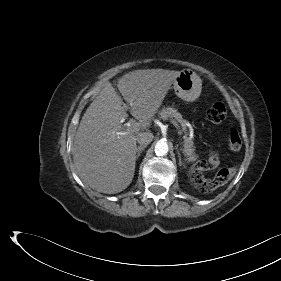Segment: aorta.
<instances>
[{"mask_svg":"<svg viewBox=\"0 0 281 281\" xmlns=\"http://www.w3.org/2000/svg\"><path fill=\"white\" fill-rule=\"evenodd\" d=\"M169 148L168 144L164 141H158L155 145V153L158 156H164L168 153Z\"/></svg>","mask_w":281,"mask_h":281,"instance_id":"obj_1","label":"aorta"}]
</instances>
